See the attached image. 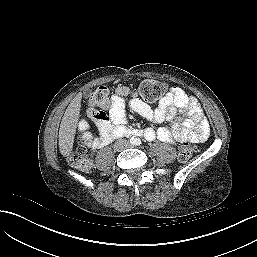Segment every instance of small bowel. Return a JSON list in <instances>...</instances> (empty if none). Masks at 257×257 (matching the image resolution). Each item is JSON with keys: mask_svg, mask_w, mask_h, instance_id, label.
<instances>
[{"mask_svg": "<svg viewBox=\"0 0 257 257\" xmlns=\"http://www.w3.org/2000/svg\"><path fill=\"white\" fill-rule=\"evenodd\" d=\"M130 96L129 108L153 123L172 122L170 127L157 130L146 128L143 135L147 140L155 138L167 143L202 142L210 134L209 124L198 101L179 87L171 88L155 108L150 107L127 86L115 90L108 115L104 114L96 124L99 135L93 137L89 132L87 120L78 124L82 140L93 148H101L112 140L114 130L126 122L125 97Z\"/></svg>", "mask_w": 257, "mask_h": 257, "instance_id": "c3829d8e", "label": "small bowel"}]
</instances>
